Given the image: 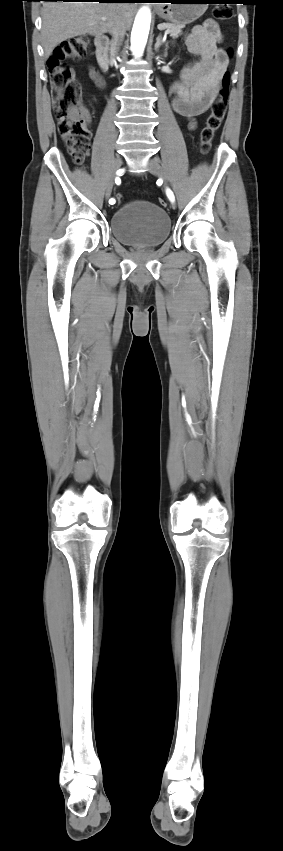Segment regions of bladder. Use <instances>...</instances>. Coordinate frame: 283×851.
<instances>
[{
    "label": "bladder",
    "mask_w": 283,
    "mask_h": 851,
    "mask_svg": "<svg viewBox=\"0 0 283 851\" xmlns=\"http://www.w3.org/2000/svg\"><path fill=\"white\" fill-rule=\"evenodd\" d=\"M112 235L134 247H154L170 234L171 221L160 206L145 200L128 202L116 209L110 219Z\"/></svg>",
    "instance_id": "obj_1"
}]
</instances>
